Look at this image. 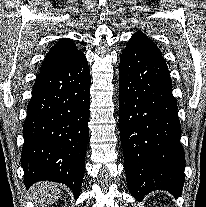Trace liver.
Listing matches in <instances>:
<instances>
[{
    "instance_id": "6515ba94",
    "label": "liver",
    "mask_w": 206,
    "mask_h": 207,
    "mask_svg": "<svg viewBox=\"0 0 206 207\" xmlns=\"http://www.w3.org/2000/svg\"><path fill=\"white\" fill-rule=\"evenodd\" d=\"M33 199L42 207L54 203L60 196L59 185L50 182H38L31 188Z\"/></svg>"
}]
</instances>
